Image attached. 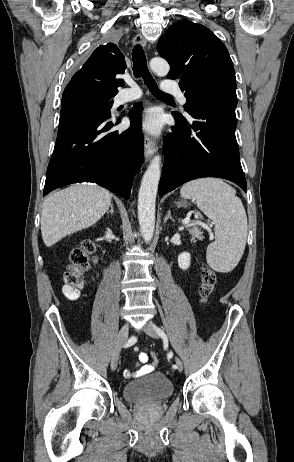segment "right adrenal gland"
I'll use <instances>...</instances> for the list:
<instances>
[{"label": "right adrenal gland", "instance_id": "1", "mask_svg": "<svg viewBox=\"0 0 294 462\" xmlns=\"http://www.w3.org/2000/svg\"><path fill=\"white\" fill-rule=\"evenodd\" d=\"M109 213H111V214L114 213V206H113V204L111 205V209L107 212V214H109Z\"/></svg>", "mask_w": 294, "mask_h": 462}]
</instances>
